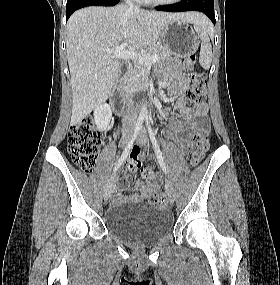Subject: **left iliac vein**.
Listing matches in <instances>:
<instances>
[{
  "instance_id": "obj_1",
  "label": "left iliac vein",
  "mask_w": 280,
  "mask_h": 285,
  "mask_svg": "<svg viewBox=\"0 0 280 285\" xmlns=\"http://www.w3.org/2000/svg\"><path fill=\"white\" fill-rule=\"evenodd\" d=\"M138 142L143 144V145H147L148 143V139H147V135H146V131L144 128L141 129L139 137H138ZM165 192L168 196V199L171 203L174 202L175 200V194H174V190H173V186L171 184V182L169 180L166 181L165 183Z\"/></svg>"
}]
</instances>
